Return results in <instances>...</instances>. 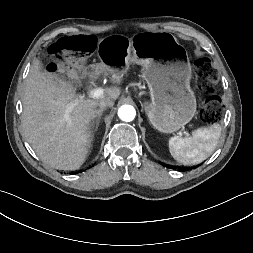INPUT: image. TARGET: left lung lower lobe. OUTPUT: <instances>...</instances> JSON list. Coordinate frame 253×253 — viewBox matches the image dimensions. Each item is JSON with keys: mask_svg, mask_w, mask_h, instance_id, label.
Returning a JSON list of instances; mask_svg holds the SVG:
<instances>
[{"mask_svg": "<svg viewBox=\"0 0 253 253\" xmlns=\"http://www.w3.org/2000/svg\"><path fill=\"white\" fill-rule=\"evenodd\" d=\"M162 165H164V164H162ZM178 170L179 171H185V168H179Z\"/></svg>", "mask_w": 253, "mask_h": 253, "instance_id": "left-lung-lower-lobe-1", "label": "left lung lower lobe"}]
</instances>
